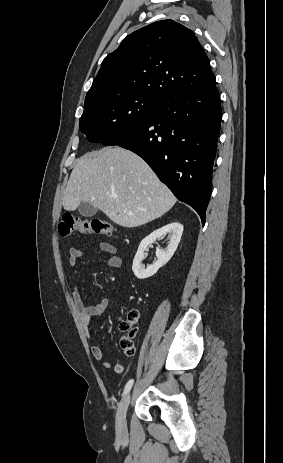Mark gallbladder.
Returning a JSON list of instances; mask_svg holds the SVG:
<instances>
[{"mask_svg":"<svg viewBox=\"0 0 283 463\" xmlns=\"http://www.w3.org/2000/svg\"><path fill=\"white\" fill-rule=\"evenodd\" d=\"M79 213L83 217H92L98 212V208L89 202H82L78 207Z\"/></svg>","mask_w":283,"mask_h":463,"instance_id":"gallbladder-1","label":"gallbladder"}]
</instances>
